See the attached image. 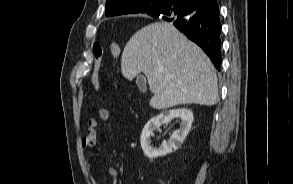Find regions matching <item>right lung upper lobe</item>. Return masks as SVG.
I'll return each instance as SVG.
<instances>
[{"label":"right lung upper lobe","instance_id":"right-lung-upper-lobe-1","mask_svg":"<svg viewBox=\"0 0 293 184\" xmlns=\"http://www.w3.org/2000/svg\"><path fill=\"white\" fill-rule=\"evenodd\" d=\"M157 0H107L105 6L106 16H118L124 14L147 13L151 16H157L162 11L152 12L151 5ZM180 0H167L168 5L164 9L171 8ZM202 3V6L216 2V0H192ZM163 10V11H164Z\"/></svg>","mask_w":293,"mask_h":184}]
</instances>
